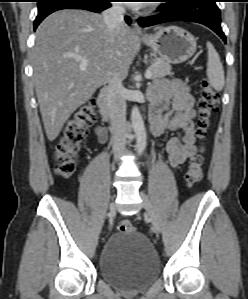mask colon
<instances>
[{"label": "colon", "mask_w": 248, "mask_h": 299, "mask_svg": "<svg viewBox=\"0 0 248 299\" xmlns=\"http://www.w3.org/2000/svg\"><path fill=\"white\" fill-rule=\"evenodd\" d=\"M199 120L196 135L203 139L210 125L212 115L219 108L218 94L207 80H203L200 86L198 100ZM95 117V104L88 101L82 104L63 127L62 135L54 147L53 158L55 172L62 178L72 177L77 169L76 157L81 144L86 136V127L89 126ZM204 160L200 154L191 157L185 181L188 187H193L202 179ZM118 229L122 233L134 231L133 224L127 220H121Z\"/></svg>", "instance_id": "obj_1"}]
</instances>
